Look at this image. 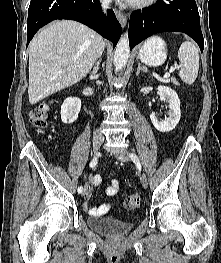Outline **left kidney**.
I'll return each instance as SVG.
<instances>
[{"mask_svg": "<svg viewBox=\"0 0 221 263\" xmlns=\"http://www.w3.org/2000/svg\"><path fill=\"white\" fill-rule=\"evenodd\" d=\"M160 100L169 103L168 117L165 120H160L152 113L150 119L154 127L160 132L172 131L178 124L181 116L180 112V100L177 93L167 86H159Z\"/></svg>", "mask_w": 221, "mask_h": 263, "instance_id": "1", "label": "left kidney"}]
</instances>
